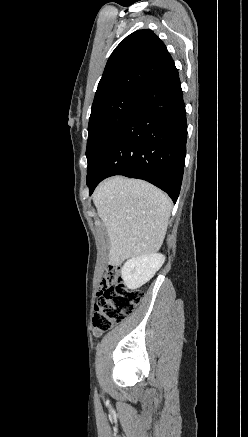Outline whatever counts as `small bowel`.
<instances>
[{
    "label": "small bowel",
    "instance_id": "small-bowel-1",
    "mask_svg": "<svg viewBox=\"0 0 248 437\" xmlns=\"http://www.w3.org/2000/svg\"><path fill=\"white\" fill-rule=\"evenodd\" d=\"M101 333H102V331L100 329H97V328L94 329V334L96 336H99Z\"/></svg>",
    "mask_w": 248,
    "mask_h": 437
}]
</instances>
